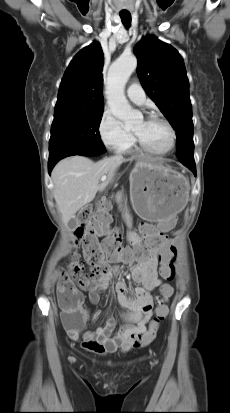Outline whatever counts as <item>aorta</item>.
<instances>
[{
    "label": "aorta",
    "mask_w": 230,
    "mask_h": 413,
    "mask_svg": "<svg viewBox=\"0 0 230 413\" xmlns=\"http://www.w3.org/2000/svg\"><path fill=\"white\" fill-rule=\"evenodd\" d=\"M136 67L135 56L122 55L112 63L108 73L106 97L109 108L126 125L132 124L136 117L141 118V114L132 109L124 94L125 85Z\"/></svg>",
    "instance_id": "aorta-1"
}]
</instances>
